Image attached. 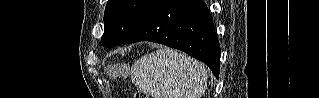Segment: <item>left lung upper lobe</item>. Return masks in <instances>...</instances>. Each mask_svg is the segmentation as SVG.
Returning <instances> with one entry per match:
<instances>
[{
  "label": "left lung upper lobe",
  "mask_w": 319,
  "mask_h": 98,
  "mask_svg": "<svg viewBox=\"0 0 319 98\" xmlns=\"http://www.w3.org/2000/svg\"><path fill=\"white\" fill-rule=\"evenodd\" d=\"M157 0H108L101 42L113 47L126 42L143 24Z\"/></svg>",
  "instance_id": "1"
}]
</instances>
